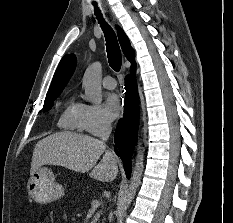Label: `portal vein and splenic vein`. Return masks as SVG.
Segmentation results:
<instances>
[{"label":"portal vein and splenic vein","mask_w":233,"mask_h":223,"mask_svg":"<svg viewBox=\"0 0 233 223\" xmlns=\"http://www.w3.org/2000/svg\"><path fill=\"white\" fill-rule=\"evenodd\" d=\"M101 201H99V199H94V201H92L91 205H100Z\"/></svg>","instance_id":"18ae733b"}]
</instances>
